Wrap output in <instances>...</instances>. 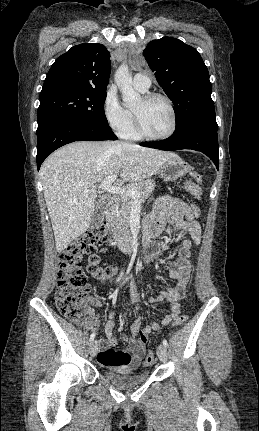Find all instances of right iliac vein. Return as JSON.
<instances>
[{
	"label": "right iliac vein",
	"instance_id": "obj_1",
	"mask_svg": "<svg viewBox=\"0 0 259 431\" xmlns=\"http://www.w3.org/2000/svg\"><path fill=\"white\" fill-rule=\"evenodd\" d=\"M98 347H97V343L96 341L91 342L90 346H89V353L91 356H95L97 353Z\"/></svg>",
	"mask_w": 259,
	"mask_h": 431
}]
</instances>
